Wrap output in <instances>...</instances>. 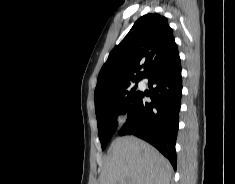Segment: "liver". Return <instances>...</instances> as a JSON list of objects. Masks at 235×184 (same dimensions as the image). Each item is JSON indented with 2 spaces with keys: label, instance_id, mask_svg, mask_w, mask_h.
Returning <instances> with one entry per match:
<instances>
[{
  "label": "liver",
  "instance_id": "liver-1",
  "mask_svg": "<svg viewBox=\"0 0 235 184\" xmlns=\"http://www.w3.org/2000/svg\"><path fill=\"white\" fill-rule=\"evenodd\" d=\"M172 166L150 144L134 136L116 138L108 150L100 184H170Z\"/></svg>",
  "mask_w": 235,
  "mask_h": 184
}]
</instances>
